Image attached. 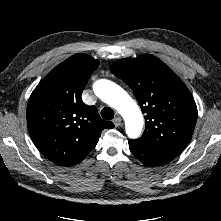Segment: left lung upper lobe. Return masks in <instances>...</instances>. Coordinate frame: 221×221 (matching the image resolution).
Listing matches in <instances>:
<instances>
[{
    "label": "left lung upper lobe",
    "mask_w": 221,
    "mask_h": 221,
    "mask_svg": "<svg viewBox=\"0 0 221 221\" xmlns=\"http://www.w3.org/2000/svg\"><path fill=\"white\" fill-rule=\"evenodd\" d=\"M110 71L133 90L145 114L146 128L139 140L177 157L189 143L197 120L196 103L185 84L150 54L120 59Z\"/></svg>",
    "instance_id": "1"
}]
</instances>
